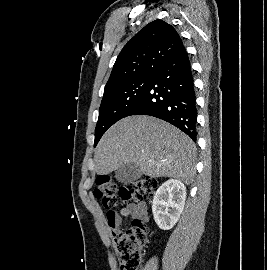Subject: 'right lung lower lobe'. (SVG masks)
<instances>
[{"label":"right lung lower lobe","mask_w":267,"mask_h":270,"mask_svg":"<svg viewBox=\"0 0 267 270\" xmlns=\"http://www.w3.org/2000/svg\"><path fill=\"white\" fill-rule=\"evenodd\" d=\"M140 114L165 120L196 141V97L184 46L153 75L148 90L126 117Z\"/></svg>","instance_id":"98d812e1"}]
</instances>
